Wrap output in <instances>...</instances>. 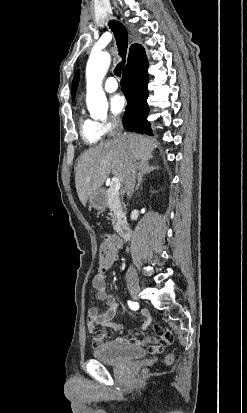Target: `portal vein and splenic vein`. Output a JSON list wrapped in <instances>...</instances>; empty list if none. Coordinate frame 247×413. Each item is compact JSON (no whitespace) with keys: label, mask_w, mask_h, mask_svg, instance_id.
<instances>
[{"label":"portal vein and splenic vein","mask_w":247,"mask_h":413,"mask_svg":"<svg viewBox=\"0 0 247 413\" xmlns=\"http://www.w3.org/2000/svg\"><path fill=\"white\" fill-rule=\"evenodd\" d=\"M120 186H121V182L119 178H117V176H113L111 180L110 188H112V190H115V192H119Z\"/></svg>","instance_id":"portal-vein-and-splenic-vein-1"}]
</instances>
